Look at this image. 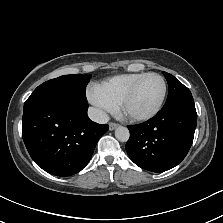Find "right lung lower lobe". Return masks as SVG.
Masks as SVG:
<instances>
[{
    "instance_id": "1",
    "label": "right lung lower lobe",
    "mask_w": 223,
    "mask_h": 223,
    "mask_svg": "<svg viewBox=\"0 0 223 223\" xmlns=\"http://www.w3.org/2000/svg\"><path fill=\"white\" fill-rule=\"evenodd\" d=\"M88 104L60 100L24 108L22 137L35 163L56 176H70L89 162L109 126L91 121Z\"/></svg>"
}]
</instances>
